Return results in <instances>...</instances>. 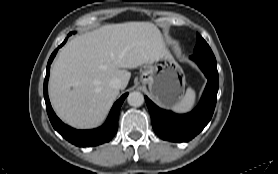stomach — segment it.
Listing matches in <instances>:
<instances>
[{
	"label": "stomach",
	"instance_id": "1",
	"mask_svg": "<svg viewBox=\"0 0 278 174\" xmlns=\"http://www.w3.org/2000/svg\"><path fill=\"white\" fill-rule=\"evenodd\" d=\"M140 82L148 85L152 97L164 107H172L182 98L186 84L182 68L169 53L146 63Z\"/></svg>",
	"mask_w": 278,
	"mask_h": 174
}]
</instances>
